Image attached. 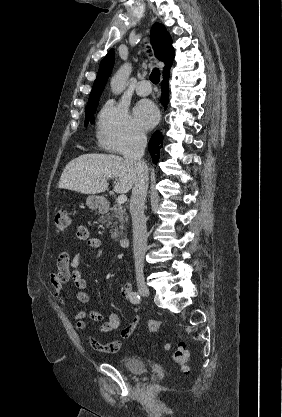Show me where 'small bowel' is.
Masks as SVG:
<instances>
[{"label":"small bowel","instance_id":"obj_1","mask_svg":"<svg viewBox=\"0 0 282 417\" xmlns=\"http://www.w3.org/2000/svg\"><path fill=\"white\" fill-rule=\"evenodd\" d=\"M76 236L80 242L84 243L85 249L94 251V254L91 256L92 260H98L104 255L105 248L102 241L97 237L91 236L87 227L78 226ZM82 257V251H76L73 254H70L69 252H62L57 258L56 270L51 274L50 282L54 289V297L62 306H67L68 304L64 288L70 280H73L75 286L80 290L78 293V299L83 303L88 301V295L83 291L87 286V281L80 269ZM119 289L122 296L126 300H129L132 292L131 284L129 282H123L120 284ZM87 317L101 322L100 332L103 334L116 330L120 324V318L115 313L103 314L96 310H82L76 312L73 316L75 327L78 332H86L87 324L85 320ZM139 321L140 316L138 311L134 309V315L130 323L121 329L119 338L108 342H101L93 336L88 335L86 337L87 342L89 346L97 352L104 354L116 353L122 346V340L129 338L136 330Z\"/></svg>","mask_w":282,"mask_h":417}]
</instances>
